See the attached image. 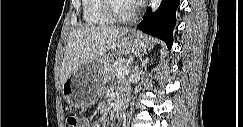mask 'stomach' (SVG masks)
Listing matches in <instances>:
<instances>
[{"label":"stomach","mask_w":243,"mask_h":127,"mask_svg":"<svg viewBox=\"0 0 243 127\" xmlns=\"http://www.w3.org/2000/svg\"><path fill=\"white\" fill-rule=\"evenodd\" d=\"M146 46V40L139 33L122 36L116 43L115 53L87 62L65 80L61 91L66 103L73 108H88L95 104L107 80L111 57L138 54Z\"/></svg>","instance_id":"0dacf381"}]
</instances>
